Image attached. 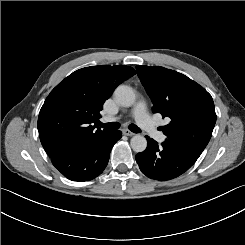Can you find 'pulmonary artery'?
<instances>
[{
	"label": "pulmonary artery",
	"mask_w": 245,
	"mask_h": 245,
	"mask_svg": "<svg viewBox=\"0 0 245 245\" xmlns=\"http://www.w3.org/2000/svg\"><path fill=\"white\" fill-rule=\"evenodd\" d=\"M135 121L138 127L145 133H150V138L154 142L161 141L162 143H167L169 141V136L163 134L161 130L156 129L157 123L154 119L149 116V107L144 102H139L134 107ZM113 118L107 117L105 121H112Z\"/></svg>",
	"instance_id": "pulmonary-artery-1"
}]
</instances>
